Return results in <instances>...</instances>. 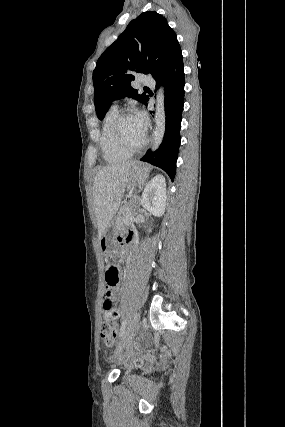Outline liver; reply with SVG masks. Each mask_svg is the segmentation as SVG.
Segmentation results:
<instances>
[{
	"label": "liver",
	"instance_id": "6515ba94",
	"mask_svg": "<svg viewBox=\"0 0 285 427\" xmlns=\"http://www.w3.org/2000/svg\"><path fill=\"white\" fill-rule=\"evenodd\" d=\"M135 162L111 164L100 169L93 184V205L99 239L118 211Z\"/></svg>",
	"mask_w": 285,
	"mask_h": 427
}]
</instances>
